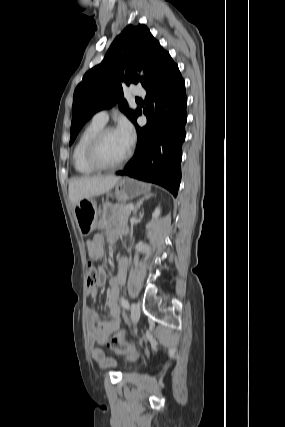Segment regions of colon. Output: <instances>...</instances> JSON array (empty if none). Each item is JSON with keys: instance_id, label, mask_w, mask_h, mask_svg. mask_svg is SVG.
<instances>
[{"instance_id": "colon-1", "label": "colon", "mask_w": 285, "mask_h": 427, "mask_svg": "<svg viewBox=\"0 0 285 427\" xmlns=\"http://www.w3.org/2000/svg\"><path fill=\"white\" fill-rule=\"evenodd\" d=\"M97 282V270L89 263L87 269V287L91 288L96 285ZM109 347L115 352L125 355L130 359H134L136 356L135 349L125 340L122 332H118L108 342Z\"/></svg>"}]
</instances>
